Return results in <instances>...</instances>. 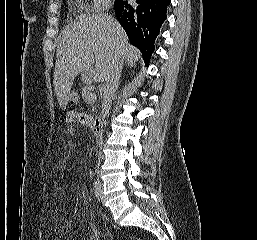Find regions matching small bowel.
<instances>
[{
	"mask_svg": "<svg viewBox=\"0 0 257 240\" xmlns=\"http://www.w3.org/2000/svg\"><path fill=\"white\" fill-rule=\"evenodd\" d=\"M62 229H61V232H64L65 230H67L68 228H70L71 226V221L68 220V219H64L62 220Z\"/></svg>",
	"mask_w": 257,
	"mask_h": 240,
	"instance_id": "obj_1",
	"label": "small bowel"
}]
</instances>
